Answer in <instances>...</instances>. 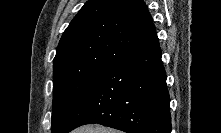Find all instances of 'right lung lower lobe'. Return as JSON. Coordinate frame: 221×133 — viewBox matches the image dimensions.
Wrapping results in <instances>:
<instances>
[{"instance_id":"1","label":"right lung lower lobe","mask_w":221,"mask_h":133,"mask_svg":"<svg viewBox=\"0 0 221 133\" xmlns=\"http://www.w3.org/2000/svg\"><path fill=\"white\" fill-rule=\"evenodd\" d=\"M92 123L127 133H171L170 99L159 45L108 67L64 133Z\"/></svg>"}]
</instances>
